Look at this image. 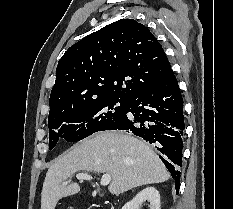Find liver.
I'll use <instances>...</instances> for the list:
<instances>
[{
    "label": "liver",
    "mask_w": 233,
    "mask_h": 209,
    "mask_svg": "<svg viewBox=\"0 0 233 209\" xmlns=\"http://www.w3.org/2000/svg\"><path fill=\"white\" fill-rule=\"evenodd\" d=\"M79 171L110 174L108 190L114 195L170 178L162 161L144 142L123 132H100L75 145L50 166L43 183L41 209H55L60 199L77 194V183L63 182Z\"/></svg>",
    "instance_id": "1"
}]
</instances>
